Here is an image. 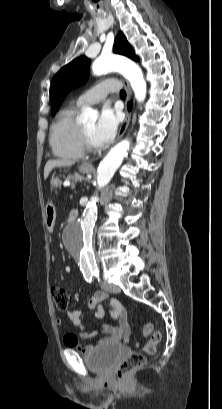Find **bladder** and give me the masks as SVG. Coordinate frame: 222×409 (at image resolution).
I'll use <instances>...</instances> for the list:
<instances>
[{
  "instance_id": "obj_1",
  "label": "bladder",
  "mask_w": 222,
  "mask_h": 409,
  "mask_svg": "<svg viewBox=\"0 0 222 409\" xmlns=\"http://www.w3.org/2000/svg\"><path fill=\"white\" fill-rule=\"evenodd\" d=\"M122 354L121 347L116 343L93 347L84 356L86 366L97 374H110Z\"/></svg>"
}]
</instances>
